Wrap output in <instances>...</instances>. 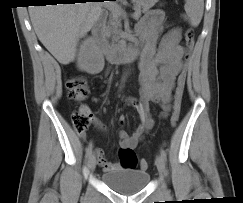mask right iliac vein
I'll return each instance as SVG.
<instances>
[{"label": "right iliac vein", "mask_w": 243, "mask_h": 203, "mask_svg": "<svg viewBox=\"0 0 243 203\" xmlns=\"http://www.w3.org/2000/svg\"><path fill=\"white\" fill-rule=\"evenodd\" d=\"M96 167V156L95 154H91L88 159V168L90 171H93Z\"/></svg>", "instance_id": "1"}]
</instances>
